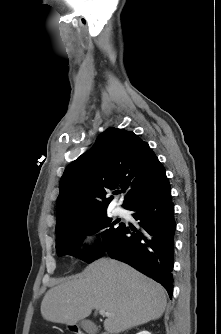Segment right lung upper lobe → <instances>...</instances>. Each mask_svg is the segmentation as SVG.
<instances>
[{
	"instance_id": "1",
	"label": "right lung upper lobe",
	"mask_w": 221,
	"mask_h": 334,
	"mask_svg": "<svg viewBox=\"0 0 221 334\" xmlns=\"http://www.w3.org/2000/svg\"><path fill=\"white\" fill-rule=\"evenodd\" d=\"M165 169L149 145L132 131L110 127L93 147L71 162L61 178L57 199L56 233L106 214L111 198L106 191H125L128 208L151 189Z\"/></svg>"
}]
</instances>
